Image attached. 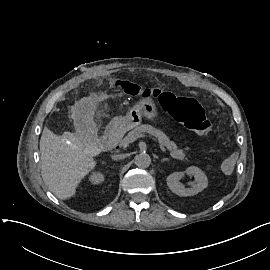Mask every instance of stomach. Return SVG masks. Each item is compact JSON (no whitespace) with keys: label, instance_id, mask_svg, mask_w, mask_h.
<instances>
[{"label":"stomach","instance_id":"1","mask_svg":"<svg viewBox=\"0 0 270 270\" xmlns=\"http://www.w3.org/2000/svg\"><path fill=\"white\" fill-rule=\"evenodd\" d=\"M157 115V109L152 96L142 98L122 118V125L123 128L129 130L138 126L143 116L153 120Z\"/></svg>","mask_w":270,"mask_h":270}]
</instances>
